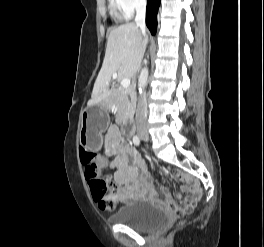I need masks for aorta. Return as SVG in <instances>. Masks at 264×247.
Masks as SVG:
<instances>
[{
    "label": "aorta",
    "mask_w": 264,
    "mask_h": 247,
    "mask_svg": "<svg viewBox=\"0 0 264 247\" xmlns=\"http://www.w3.org/2000/svg\"><path fill=\"white\" fill-rule=\"evenodd\" d=\"M148 68L144 67L139 75L138 78V88H139V92H142V90L145 88L146 84H147V80H148Z\"/></svg>",
    "instance_id": "aorta-1"
}]
</instances>
